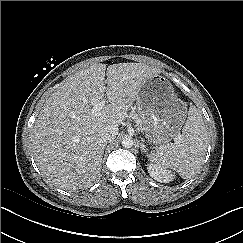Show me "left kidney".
Masks as SVG:
<instances>
[{"label":"left kidney","mask_w":243,"mask_h":243,"mask_svg":"<svg viewBox=\"0 0 243 243\" xmlns=\"http://www.w3.org/2000/svg\"><path fill=\"white\" fill-rule=\"evenodd\" d=\"M148 172L152 178L163 183L173 181L175 177L174 174H172L170 171L161 167H157L154 164H150L148 166Z\"/></svg>","instance_id":"5707ae66"}]
</instances>
